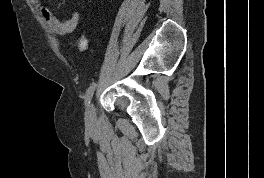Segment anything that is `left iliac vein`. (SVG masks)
Here are the masks:
<instances>
[{
  "label": "left iliac vein",
  "mask_w": 264,
  "mask_h": 178,
  "mask_svg": "<svg viewBox=\"0 0 264 178\" xmlns=\"http://www.w3.org/2000/svg\"><path fill=\"white\" fill-rule=\"evenodd\" d=\"M86 123L92 125L96 119L95 107L93 103L87 105L85 113Z\"/></svg>",
  "instance_id": "1"
}]
</instances>
